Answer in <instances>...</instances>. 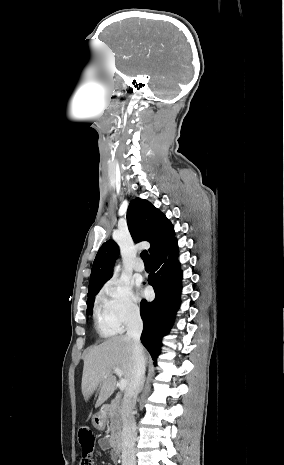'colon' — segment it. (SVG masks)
I'll list each match as a JSON object with an SVG mask.
<instances>
[{"instance_id": "5ec220e1", "label": "colon", "mask_w": 284, "mask_h": 465, "mask_svg": "<svg viewBox=\"0 0 284 465\" xmlns=\"http://www.w3.org/2000/svg\"><path fill=\"white\" fill-rule=\"evenodd\" d=\"M79 442L81 446V454L84 459L83 465H89L88 459L92 457L93 448L95 445V436L88 427H81L78 430Z\"/></svg>"}]
</instances>
